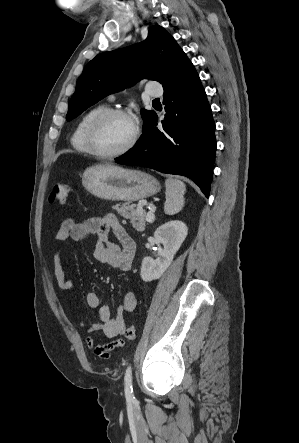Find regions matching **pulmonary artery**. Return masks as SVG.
Returning a JSON list of instances; mask_svg holds the SVG:
<instances>
[{
	"instance_id": "pulmonary-artery-1",
	"label": "pulmonary artery",
	"mask_w": 299,
	"mask_h": 443,
	"mask_svg": "<svg viewBox=\"0 0 299 443\" xmlns=\"http://www.w3.org/2000/svg\"><path fill=\"white\" fill-rule=\"evenodd\" d=\"M146 93L151 97H159L163 94V89L159 84L150 82L146 86ZM109 99L113 100L114 95H110Z\"/></svg>"
}]
</instances>
